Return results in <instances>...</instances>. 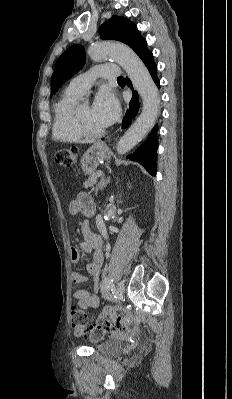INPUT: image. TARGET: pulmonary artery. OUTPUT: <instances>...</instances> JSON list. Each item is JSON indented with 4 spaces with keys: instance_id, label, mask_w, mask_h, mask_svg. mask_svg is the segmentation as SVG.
<instances>
[{
    "instance_id": "obj_1",
    "label": "pulmonary artery",
    "mask_w": 232,
    "mask_h": 399,
    "mask_svg": "<svg viewBox=\"0 0 232 399\" xmlns=\"http://www.w3.org/2000/svg\"><path fill=\"white\" fill-rule=\"evenodd\" d=\"M94 70H99V75L91 77V73H76L74 81H70L69 89L65 90L66 96H89V86L85 84H96L97 79L118 80L117 63H94Z\"/></svg>"
}]
</instances>
